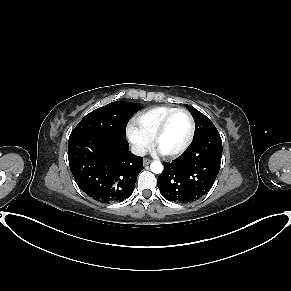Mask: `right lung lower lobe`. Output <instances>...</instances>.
<instances>
[{
  "mask_svg": "<svg viewBox=\"0 0 291 291\" xmlns=\"http://www.w3.org/2000/svg\"><path fill=\"white\" fill-rule=\"evenodd\" d=\"M68 159L80 189L102 203L128 198L143 169V158L129 151L125 137L114 135L69 137Z\"/></svg>",
  "mask_w": 291,
  "mask_h": 291,
  "instance_id": "98d812e1",
  "label": "right lung lower lobe"
}]
</instances>
